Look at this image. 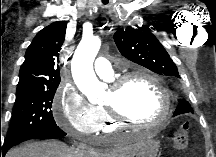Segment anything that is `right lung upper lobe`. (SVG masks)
<instances>
[{"instance_id":"1","label":"right lung upper lobe","mask_w":216,"mask_h":157,"mask_svg":"<svg viewBox=\"0 0 216 157\" xmlns=\"http://www.w3.org/2000/svg\"><path fill=\"white\" fill-rule=\"evenodd\" d=\"M66 23L57 21L42 29L25 53L19 71L16 97L26 92L57 88L60 83L59 51L65 39Z\"/></svg>"}]
</instances>
